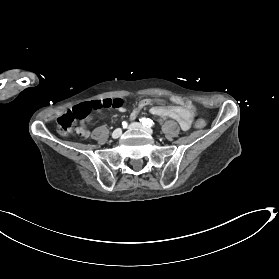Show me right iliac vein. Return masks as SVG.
Listing matches in <instances>:
<instances>
[{
	"instance_id": "right-iliac-vein-1",
	"label": "right iliac vein",
	"mask_w": 279,
	"mask_h": 279,
	"mask_svg": "<svg viewBox=\"0 0 279 279\" xmlns=\"http://www.w3.org/2000/svg\"><path fill=\"white\" fill-rule=\"evenodd\" d=\"M122 134V129L121 128H117L113 131L112 133V138L117 139L121 136Z\"/></svg>"
}]
</instances>
